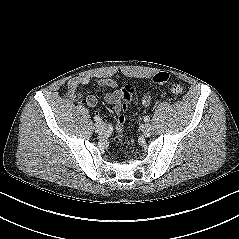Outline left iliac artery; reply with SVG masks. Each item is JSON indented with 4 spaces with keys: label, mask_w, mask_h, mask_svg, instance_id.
<instances>
[{
    "label": "left iliac artery",
    "mask_w": 239,
    "mask_h": 239,
    "mask_svg": "<svg viewBox=\"0 0 239 239\" xmlns=\"http://www.w3.org/2000/svg\"><path fill=\"white\" fill-rule=\"evenodd\" d=\"M144 121H145V122H149V121H150V117H149V116H145V117H144Z\"/></svg>",
    "instance_id": "1"
}]
</instances>
